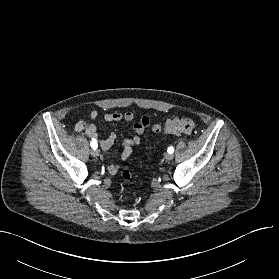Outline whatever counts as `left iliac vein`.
Wrapping results in <instances>:
<instances>
[{
  "mask_svg": "<svg viewBox=\"0 0 279 279\" xmlns=\"http://www.w3.org/2000/svg\"><path fill=\"white\" fill-rule=\"evenodd\" d=\"M164 158L168 161L172 160L174 158V155L172 153H166Z\"/></svg>",
  "mask_w": 279,
  "mask_h": 279,
  "instance_id": "1",
  "label": "left iliac vein"
}]
</instances>
